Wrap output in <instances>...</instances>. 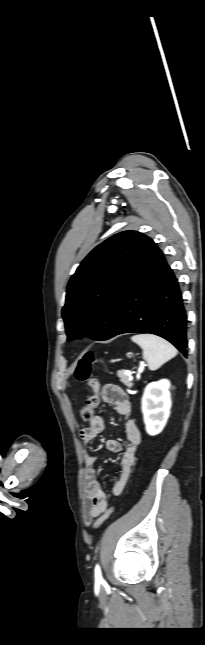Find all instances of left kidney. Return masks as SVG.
Here are the masks:
<instances>
[{"instance_id": "5707ae66", "label": "left kidney", "mask_w": 205, "mask_h": 645, "mask_svg": "<svg viewBox=\"0 0 205 645\" xmlns=\"http://www.w3.org/2000/svg\"><path fill=\"white\" fill-rule=\"evenodd\" d=\"M170 382L166 379L148 384L142 396V413L149 435L159 434L170 416Z\"/></svg>"}]
</instances>
